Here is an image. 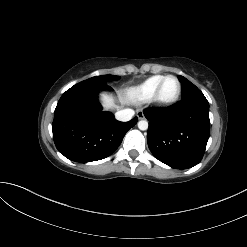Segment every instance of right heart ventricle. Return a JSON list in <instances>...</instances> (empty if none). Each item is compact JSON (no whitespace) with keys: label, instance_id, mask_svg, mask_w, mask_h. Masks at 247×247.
Listing matches in <instances>:
<instances>
[{"label":"right heart ventricle","instance_id":"e07e8e85","mask_svg":"<svg viewBox=\"0 0 247 247\" xmlns=\"http://www.w3.org/2000/svg\"><path fill=\"white\" fill-rule=\"evenodd\" d=\"M164 77V75H154L136 87L131 88L128 92L130 98L137 103H144L151 100Z\"/></svg>","mask_w":247,"mask_h":247}]
</instances>
